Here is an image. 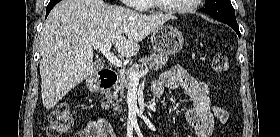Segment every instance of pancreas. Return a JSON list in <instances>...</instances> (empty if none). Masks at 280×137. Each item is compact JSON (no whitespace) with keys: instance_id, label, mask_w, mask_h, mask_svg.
I'll list each match as a JSON object with an SVG mask.
<instances>
[{"instance_id":"obj_1","label":"pancreas","mask_w":280,"mask_h":137,"mask_svg":"<svg viewBox=\"0 0 280 137\" xmlns=\"http://www.w3.org/2000/svg\"><path fill=\"white\" fill-rule=\"evenodd\" d=\"M167 61V56L152 53L149 57H143L139 59V61L137 63H134L130 69L136 72H138L140 69H153L155 71H158L166 65ZM129 83L130 80L128 74L126 72H121L117 83L114 85V92L105 93L102 106L105 108H113L115 111L119 112V103L121 100L118 99V95H120V97H125V91L128 88Z\"/></svg>"}]
</instances>
